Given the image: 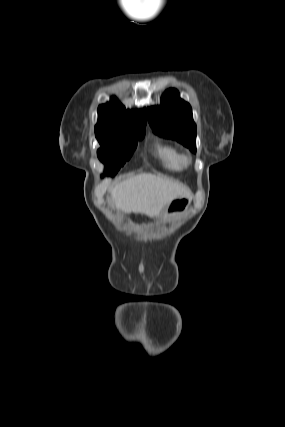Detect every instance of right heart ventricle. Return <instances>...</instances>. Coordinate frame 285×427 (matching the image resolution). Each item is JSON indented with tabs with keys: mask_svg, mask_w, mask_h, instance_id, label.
Masks as SVG:
<instances>
[{
	"mask_svg": "<svg viewBox=\"0 0 285 427\" xmlns=\"http://www.w3.org/2000/svg\"><path fill=\"white\" fill-rule=\"evenodd\" d=\"M155 154L165 169L169 171H180L182 169L180 152L174 145L159 143L155 147Z\"/></svg>",
	"mask_w": 285,
	"mask_h": 427,
	"instance_id": "1",
	"label": "right heart ventricle"
}]
</instances>
